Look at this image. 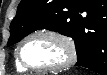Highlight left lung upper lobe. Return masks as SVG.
<instances>
[{"instance_id":"left-lung-upper-lobe-1","label":"left lung upper lobe","mask_w":107,"mask_h":75,"mask_svg":"<svg viewBox=\"0 0 107 75\" xmlns=\"http://www.w3.org/2000/svg\"><path fill=\"white\" fill-rule=\"evenodd\" d=\"M87 0H22L10 25L11 46L37 29H50L75 41L77 57L84 52L83 36L107 38V19L93 14ZM86 28V30H85Z\"/></svg>"}]
</instances>
